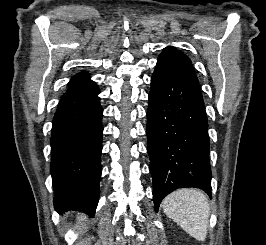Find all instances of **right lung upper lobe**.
<instances>
[{"mask_svg":"<svg viewBox=\"0 0 266 245\" xmlns=\"http://www.w3.org/2000/svg\"><path fill=\"white\" fill-rule=\"evenodd\" d=\"M90 80V74L88 72L82 71L75 76L72 77L71 81L68 83V85H73L76 83L84 82Z\"/></svg>","mask_w":266,"mask_h":245,"instance_id":"obj_1","label":"right lung upper lobe"}]
</instances>
